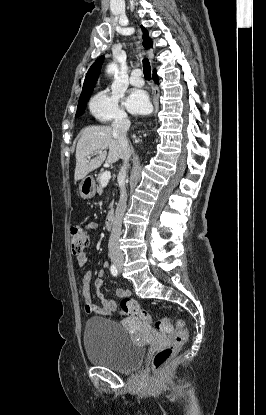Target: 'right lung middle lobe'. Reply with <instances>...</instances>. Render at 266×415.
Instances as JSON below:
<instances>
[{"instance_id":"1","label":"right lung middle lobe","mask_w":266,"mask_h":415,"mask_svg":"<svg viewBox=\"0 0 266 415\" xmlns=\"http://www.w3.org/2000/svg\"><path fill=\"white\" fill-rule=\"evenodd\" d=\"M90 96H91V93H88V94H86L84 96H81L79 98L77 112H76L75 117L81 116L84 113V110H85V107H86V102L88 101Z\"/></svg>"}]
</instances>
